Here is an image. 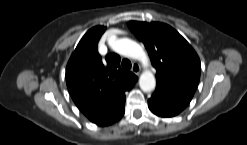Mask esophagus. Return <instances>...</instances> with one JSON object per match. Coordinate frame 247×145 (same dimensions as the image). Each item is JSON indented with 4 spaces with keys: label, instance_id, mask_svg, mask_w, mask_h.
<instances>
[{
    "label": "esophagus",
    "instance_id": "obj_1",
    "mask_svg": "<svg viewBox=\"0 0 247 145\" xmlns=\"http://www.w3.org/2000/svg\"><path fill=\"white\" fill-rule=\"evenodd\" d=\"M132 72L135 73L136 75H139L141 72V67L138 63H133L132 64Z\"/></svg>",
    "mask_w": 247,
    "mask_h": 145
}]
</instances>
